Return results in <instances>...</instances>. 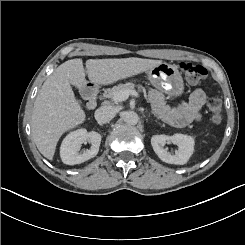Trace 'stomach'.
<instances>
[{
    "instance_id": "1",
    "label": "stomach",
    "mask_w": 245,
    "mask_h": 245,
    "mask_svg": "<svg viewBox=\"0 0 245 245\" xmlns=\"http://www.w3.org/2000/svg\"><path fill=\"white\" fill-rule=\"evenodd\" d=\"M148 81L157 89L172 96L180 95L183 91L182 79L176 66L166 62L160 63L146 70ZM81 84L79 89H88Z\"/></svg>"
}]
</instances>
